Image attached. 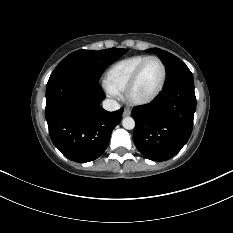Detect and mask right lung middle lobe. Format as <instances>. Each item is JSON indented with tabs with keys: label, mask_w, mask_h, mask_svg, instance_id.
I'll list each match as a JSON object with an SVG mask.
<instances>
[{
	"label": "right lung middle lobe",
	"mask_w": 233,
	"mask_h": 233,
	"mask_svg": "<svg viewBox=\"0 0 233 233\" xmlns=\"http://www.w3.org/2000/svg\"><path fill=\"white\" fill-rule=\"evenodd\" d=\"M126 52V49L118 48L72 52L57 65L49 80L59 77H80L98 81L107 66Z\"/></svg>",
	"instance_id": "obj_1"
}]
</instances>
